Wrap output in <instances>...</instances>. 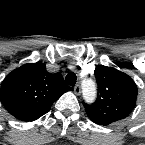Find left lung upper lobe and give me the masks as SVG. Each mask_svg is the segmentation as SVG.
Segmentation results:
<instances>
[{
	"instance_id": "obj_1",
	"label": "left lung upper lobe",
	"mask_w": 145,
	"mask_h": 145,
	"mask_svg": "<svg viewBox=\"0 0 145 145\" xmlns=\"http://www.w3.org/2000/svg\"><path fill=\"white\" fill-rule=\"evenodd\" d=\"M94 73L98 83V97L91 105L83 102L88 117L103 126L126 118L134 109L138 94L132 78L106 66L96 67Z\"/></svg>"
}]
</instances>
